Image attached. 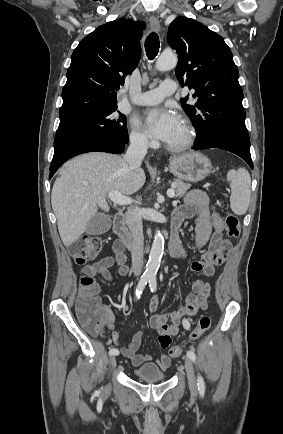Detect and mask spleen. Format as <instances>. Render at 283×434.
Masks as SVG:
<instances>
[{
  "label": "spleen",
  "mask_w": 283,
  "mask_h": 434,
  "mask_svg": "<svg viewBox=\"0 0 283 434\" xmlns=\"http://www.w3.org/2000/svg\"><path fill=\"white\" fill-rule=\"evenodd\" d=\"M227 181L230 184L232 193L230 196L231 210L237 215L246 213L250 202L251 178L244 168L230 170L227 173Z\"/></svg>",
  "instance_id": "1"
}]
</instances>
